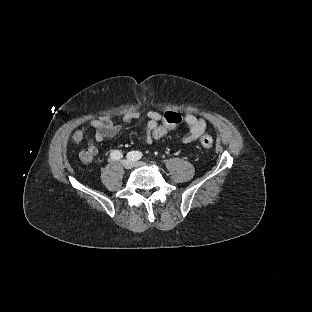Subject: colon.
<instances>
[{"instance_id": "1", "label": "colon", "mask_w": 312, "mask_h": 312, "mask_svg": "<svg viewBox=\"0 0 312 312\" xmlns=\"http://www.w3.org/2000/svg\"><path fill=\"white\" fill-rule=\"evenodd\" d=\"M165 118H164V124L165 128L162 126H158L155 128L153 135L155 138L160 139L162 138L166 132H171L174 126L178 124V121L181 120V115H177L176 113L173 112H165ZM81 132L77 131L75 132L74 136H72V141H77L79 137H81ZM201 146L206 149H210L213 146V139L210 136H203L201 138ZM88 155V154H87Z\"/></svg>"}]
</instances>
